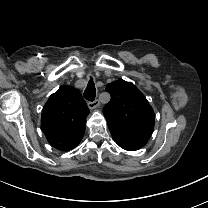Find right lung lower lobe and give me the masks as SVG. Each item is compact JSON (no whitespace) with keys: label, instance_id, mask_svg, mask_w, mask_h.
<instances>
[{"label":"right lung lower lobe","instance_id":"obj_1","mask_svg":"<svg viewBox=\"0 0 208 208\" xmlns=\"http://www.w3.org/2000/svg\"><path fill=\"white\" fill-rule=\"evenodd\" d=\"M83 135L84 134L78 136L77 138H75V139H73V140H71L69 142L60 144V145L56 146L55 148H57L59 150H63V151L71 150V149H73L74 147H76L79 144V142L81 141Z\"/></svg>","mask_w":208,"mask_h":208}]
</instances>
